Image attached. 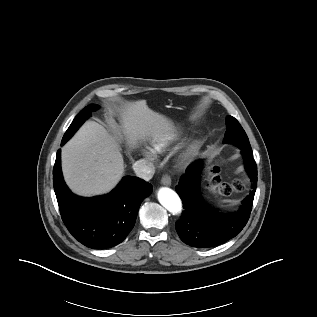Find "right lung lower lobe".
Listing matches in <instances>:
<instances>
[{"instance_id": "1", "label": "right lung lower lobe", "mask_w": 317, "mask_h": 317, "mask_svg": "<svg viewBox=\"0 0 317 317\" xmlns=\"http://www.w3.org/2000/svg\"><path fill=\"white\" fill-rule=\"evenodd\" d=\"M65 142L62 140L61 144ZM53 185L64 224L79 242L92 249H107L121 243L135 224L141 202L152 192L151 184L126 176L107 195L77 197L64 182L61 150L56 155Z\"/></svg>"}]
</instances>
